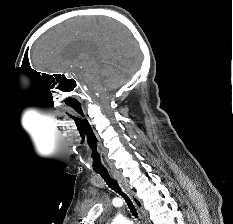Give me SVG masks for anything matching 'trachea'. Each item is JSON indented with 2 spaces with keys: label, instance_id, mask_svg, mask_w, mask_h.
I'll return each mask as SVG.
<instances>
[{
  "label": "trachea",
  "instance_id": "trachea-1",
  "mask_svg": "<svg viewBox=\"0 0 233 224\" xmlns=\"http://www.w3.org/2000/svg\"><path fill=\"white\" fill-rule=\"evenodd\" d=\"M97 174H99L103 179L104 181L107 183V185L112 189L114 190L115 192H117L118 194H120L126 201L132 215L136 218H138V214L136 212V209L132 203V201L129 199V197L124 193L122 192L120 186L118 185L117 181L114 180L108 172H97Z\"/></svg>",
  "mask_w": 233,
  "mask_h": 224
}]
</instances>
